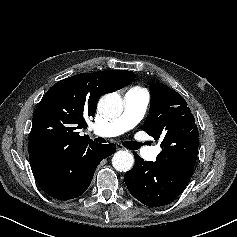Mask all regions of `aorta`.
Wrapping results in <instances>:
<instances>
[{
  "label": "aorta",
  "instance_id": "aorta-1",
  "mask_svg": "<svg viewBox=\"0 0 237 237\" xmlns=\"http://www.w3.org/2000/svg\"><path fill=\"white\" fill-rule=\"evenodd\" d=\"M98 110L106 117H118L123 111V101L119 94L108 93L98 102ZM134 164V157L128 151H118L112 158L113 167L119 172L129 171Z\"/></svg>",
  "mask_w": 237,
  "mask_h": 237
}]
</instances>
